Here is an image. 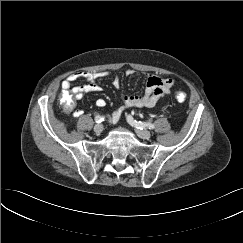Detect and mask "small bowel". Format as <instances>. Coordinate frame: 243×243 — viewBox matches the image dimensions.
Wrapping results in <instances>:
<instances>
[{
  "label": "small bowel",
  "instance_id": "c3829d8e",
  "mask_svg": "<svg viewBox=\"0 0 243 243\" xmlns=\"http://www.w3.org/2000/svg\"><path fill=\"white\" fill-rule=\"evenodd\" d=\"M131 75L132 72H127ZM106 72H80L72 74L67 77L61 84L63 92H69L73 95L75 100H80L84 94L89 92H99L102 90L98 84V80L106 77ZM84 79L87 84L82 86H74V81ZM175 81L171 78L162 77L159 75L148 74L146 78V88L141 95H126L123 97L122 106L119 107L112 116L113 122H117L127 108H153L166 95L171 93ZM113 86L115 88L121 87V82L118 77H114ZM98 107H104L106 102L99 98L96 100ZM76 115H81V111H76Z\"/></svg>",
  "mask_w": 243,
  "mask_h": 243
}]
</instances>
